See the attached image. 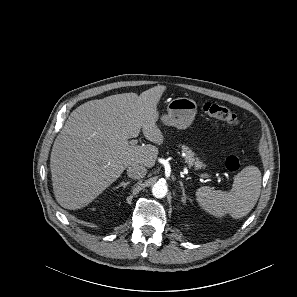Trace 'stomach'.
Wrapping results in <instances>:
<instances>
[{"label": "stomach", "instance_id": "1", "mask_svg": "<svg viewBox=\"0 0 297 297\" xmlns=\"http://www.w3.org/2000/svg\"><path fill=\"white\" fill-rule=\"evenodd\" d=\"M167 112L161 118L165 125L174 126L178 129H186L195 118L197 104L190 98H176L168 103Z\"/></svg>", "mask_w": 297, "mask_h": 297}]
</instances>
